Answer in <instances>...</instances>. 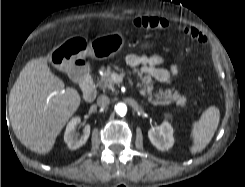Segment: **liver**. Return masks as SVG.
<instances>
[{
    "mask_svg": "<svg viewBox=\"0 0 245 187\" xmlns=\"http://www.w3.org/2000/svg\"><path fill=\"white\" fill-rule=\"evenodd\" d=\"M48 57L29 61L9 95V116L17 139L38 154L49 153L62 128L78 109V91L48 67Z\"/></svg>",
    "mask_w": 245,
    "mask_h": 187,
    "instance_id": "liver-1",
    "label": "liver"
}]
</instances>
